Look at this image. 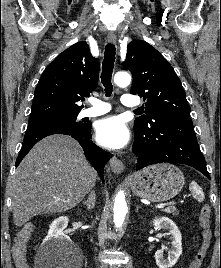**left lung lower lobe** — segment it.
<instances>
[{
  "label": "left lung lower lobe",
  "mask_w": 221,
  "mask_h": 268,
  "mask_svg": "<svg viewBox=\"0 0 221 268\" xmlns=\"http://www.w3.org/2000/svg\"><path fill=\"white\" fill-rule=\"evenodd\" d=\"M132 151L138 158L137 170L156 163L175 162L192 166L210 179L188 115L151 116L145 127L134 129Z\"/></svg>",
  "instance_id": "0a47b994"
}]
</instances>
